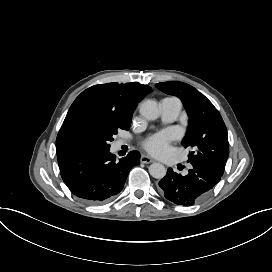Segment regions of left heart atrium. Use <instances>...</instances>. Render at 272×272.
Returning <instances> with one entry per match:
<instances>
[{
	"instance_id": "obj_1",
	"label": "left heart atrium",
	"mask_w": 272,
	"mask_h": 272,
	"mask_svg": "<svg viewBox=\"0 0 272 272\" xmlns=\"http://www.w3.org/2000/svg\"><path fill=\"white\" fill-rule=\"evenodd\" d=\"M169 139L170 132H162L147 143V148L155 155L162 154L168 149Z\"/></svg>"
}]
</instances>
